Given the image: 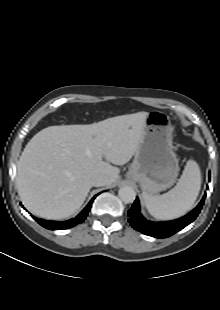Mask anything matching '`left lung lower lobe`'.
I'll return each instance as SVG.
<instances>
[{
	"label": "left lung lower lobe",
	"instance_id": "0a47b994",
	"mask_svg": "<svg viewBox=\"0 0 220 310\" xmlns=\"http://www.w3.org/2000/svg\"><path fill=\"white\" fill-rule=\"evenodd\" d=\"M205 197L206 194L198 206L187 215L177 220L167 222H152L144 218L140 213L139 200L136 198L131 209L128 211V216L130 217L128 221L135 230L145 235L155 238H167L182 230L196 219L203 207Z\"/></svg>",
	"mask_w": 220,
	"mask_h": 310
}]
</instances>
